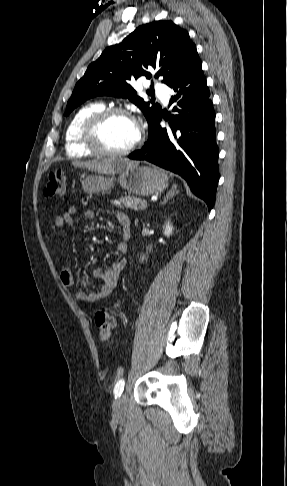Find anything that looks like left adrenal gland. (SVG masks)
Wrapping results in <instances>:
<instances>
[{"label":"left adrenal gland","instance_id":"left-adrenal-gland-1","mask_svg":"<svg viewBox=\"0 0 287 486\" xmlns=\"http://www.w3.org/2000/svg\"><path fill=\"white\" fill-rule=\"evenodd\" d=\"M178 193V190H177V185H173L172 188L170 189V191L167 193L166 197L164 198L163 202H161V205H165L167 203V201L174 197L176 194Z\"/></svg>","mask_w":287,"mask_h":486}]
</instances>
